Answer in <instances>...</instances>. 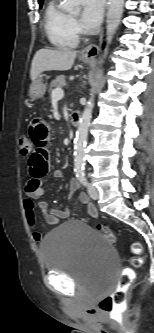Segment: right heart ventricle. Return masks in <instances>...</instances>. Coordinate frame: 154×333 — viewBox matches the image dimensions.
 Listing matches in <instances>:
<instances>
[{"label":"right heart ventricle","instance_id":"e07e8e85","mask_svg":"<svg viewBox=\"0 0 154 333\" xmlns=\"http://www.w3.org/2000/svg\"><path fill=\"white\" fill-rule=\"evenodd\" d=\"M44 28L50 43L59 49L74 48L79 43L71 16L60 0H50L44 14Z\"/></svg>","mask_w":154,"mask_h":333}]
</instances>
